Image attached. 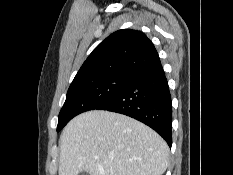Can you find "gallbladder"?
Here are the masks:
<instances>
[{"label":"gallbladder","mask_w":233,"mask_h":175,"mask_svg":"<svg viewBox=\"0 0 233 175\" xmlns=\"http://www.w3.org/2000/svg\"><path fill=\"white\" fill-rule=\"evenodd\" d=\"M79 175H89V173L83 171V172L79 173Z\"/></svg>","instance_id":"gallbladder-1"}]
</instances>
